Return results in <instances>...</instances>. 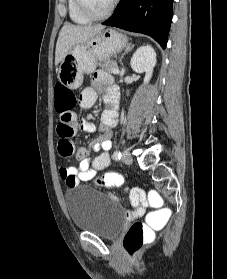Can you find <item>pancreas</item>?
<instances>
[{"label":"pancreas","instance_id":"obj_1","mask_svg":"<svg viewBox=\"0 0 227 279\" xmlns=\"http://www.w3.org/2000/svg\"><path fill=\"white\" fill-rule=\"evenodd\" d=\"M99 67L102 70L107 71L108 73H113L112 69L118 68V65L115 61L108 59L106 61H103L102 63H99Z\"/></svg>","mask_w":227,"mask_h":279}]
</instances>
